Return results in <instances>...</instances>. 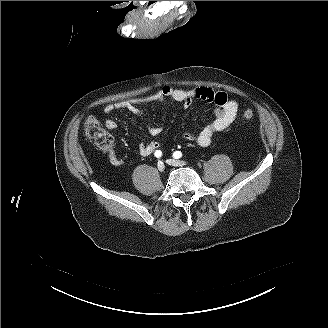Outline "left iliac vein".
Wrapping results in <instances>:
<instances>
[{"label":"left iliac vein","instance_id":"left-iliac-vein-1","mask_svg":"<svg viewBox=\"0 0 328 328\" xmlns=\"http://www.w3.org/2000/svg\"><path fill=\"white\" fill-rule=\"evenodd\" d=\"M166 162L168 164L172 165V166H184V165H186V162L185 161L176 160V159H169Z\"/></svg>","mask_w":328,"mask_h":328}]
</instances>
